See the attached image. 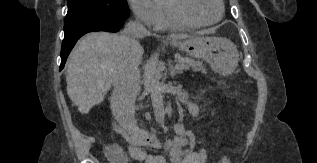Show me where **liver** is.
Masks as SVG:
<instances>
[{"mask_svg":"<svg viewBox=\"0 0 317 163\" xmlns=\"http://www.w3.org/2000/svg\"><path fill=\"white\" fill-rule=\"evenodd\" d=\"M170 38L176 41L189 36L171 34ZM135 41L128 45L124 35L92 32L72 50L67 63V94L82 114L104 100L124 64H140L144 50Z\"/></svg>","mask_w":317,"mask_h":163,"instance_id":"6515ba94","label":"liver"}]
</instances>
